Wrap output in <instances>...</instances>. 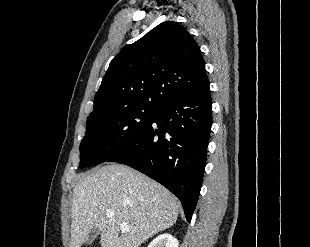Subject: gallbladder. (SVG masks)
Returning <instances> with one entry per match:
<instances>
[{"label": "gallbladder", "instance_id": "gallbladder-1", "mask_svg": "<svg viewBox=\"0 0 310 247\" xmlns=\"http://www.w3.org/2000/svg\"><path fill=\"white\" fill-rule=\"evenodd\" d=\"M97 236H98V229L93 228L86 238V241H85L86 245L92 244L94 240L97 238Z\"/></svg>", "mask_w": 310, "mask_h": 247}]
</instances>
